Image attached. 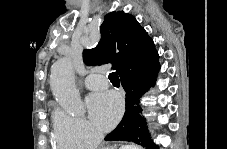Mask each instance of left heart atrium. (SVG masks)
Returning a JSON list of instances; mask_svg holds the SVG:
<instances>
[{
    "label": "left heart atrium",
    "mask_w": 227,
    "mask_h": 149,
    "mask_svg": "<svg viewBox=\"0 0 227 149\" xmlns=\"http://www.w3.org/2000/svg\"><path fill=\"white\" fill-rule=\"evenodd\" d=\"M87 106L92 122L104 131L116 124L123 110L121 96L113 91L90 95Z\"/></svg>",
    "instance_id": "1"
}]
</instances>
